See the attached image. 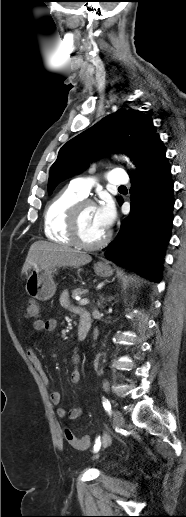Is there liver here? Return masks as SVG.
<instances>
[{"mask_svg":"<svg viewBox=\"0 0 186 517\" xmlns=\"http://www.w3.org/2000/svg\"><path fill=\"white\" fill-rule=\"evenodd\" d=\"M91 260L92 257L85 252L67 246L37 241L31 245L21 273L27 274L32 268L42 270L62 266L79 267L90 263Z\"/></svg>","mask_w":186,"mask_h":517,"instance_id":"liver-1","label":"liver"}]
</instances>
